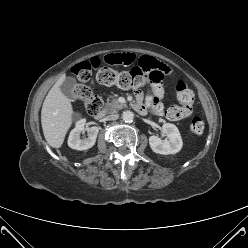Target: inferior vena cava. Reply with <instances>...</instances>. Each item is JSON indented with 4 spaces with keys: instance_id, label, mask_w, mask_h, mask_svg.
<instances>
[{
    "instance_id": "obj_1",
    "label": "inferior vena cava",
    "mask_w": 248,
    "mask_h": 248,
    "mask_svg": "<svg viewBox=\"0 0 248 248\" xmlns=\"http://www.w3.org/2000/svg\"><path fill=\"white\" fill-rule=\"evenodd\" d=\"M119 118L118 114H111L105 117V120H116Z\"/></svg>"
}]
</instances>
